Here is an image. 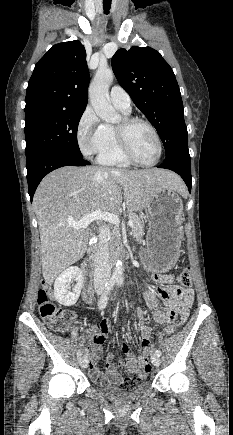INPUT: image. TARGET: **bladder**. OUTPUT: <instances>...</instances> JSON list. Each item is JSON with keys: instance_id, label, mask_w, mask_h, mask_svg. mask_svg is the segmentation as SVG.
<instances>
[{"instance_id": "1", "label": "bladder", "mask_w": 233, "mask_h": 435, "mask_svg": "<svg viewBox=\"0 0 233 435\" xmlns=\"http://www.w3.org/2000/svg\"><path fill=\"white\" fill-rule=\"evenodd\" d=\"M148 389V384L140 383L130 390H124L119 383L98 384L97 390L109 399L115 401L130 400L139 397Z\"/></svg>"}]
</instances>
